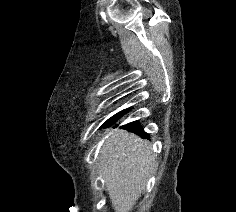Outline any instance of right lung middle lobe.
<instances>
[{"label": "right lung middle lobe", "mask_w": 236, "mask_h": 212, "mask_svg": "<svg viewBox=\"0 0 236 212\" xmlns=\"http://www.w3.org/2000/svg\"><path fill=\"white\" fill-rule=\"evenodd\" d=\"M111 119H112V118H110L108 121H106V122L102 125V127L106 126L107 123H108Z\"/></svg>", "instance_id": "right-lung-middle-lobe-1"}]
</instances>
